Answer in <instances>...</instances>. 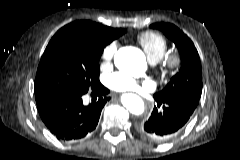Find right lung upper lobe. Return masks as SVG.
Returning <instances> with one entry per match:
<instances>
[{
	"instance_id": "cb5924a9",
	"label": "right lung upper lobe",
	"mask_w": 240,
	"mask_h": 160,
	"mask_svg": "<svg viewBox=\"0 0 240 160\" xmlns=\"http://www.w3.org/2000/svg\"><path fill=\"white\" fill-rule=\"evenodd\" d=\"M66 26L81 31L89 39L105 41L111 40L115 34L122 30L103 26L91 21H76Z\"/></svg>"
}]
</instances>
